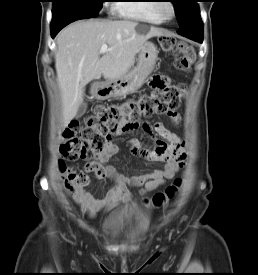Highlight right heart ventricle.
Wrapping results in <instances>:
<instances>
[{"mask_svg": "<svg viewBox=\"0 0 258 275\" xmlns=\"http://www.w3.org/2000/svg\"><path fill=\"white\" fill-rule=\"evenodd\" d=\"M117 3V12L127 18L151 24H161L163 20L156 11V0H128Z\"/></svg>", "mask_w": 258, "mask_h": 275, "instance_id": "obj_1", "label": "right heart ventricle"}]
</instances>
